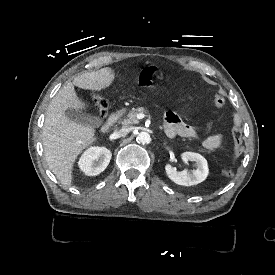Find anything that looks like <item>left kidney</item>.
Listing matches in <instances>:
<instances>
[{
  "instance_id": "5707ae66",
  "label": "left kidney",
  "mask_w": 275,
  "mask_h": 275,
  "mask_svg": "<svg viewBox=\"0 0 275 275\" xmlns=\"http://www.w3.org/2000/svg\"><path fill=\"white\" fill-rule=\"evenodd\" d=\"M179 156L184 164H188L189 161H194L197 168L193 171L183 170L182 172H177L171 164L167 163L165 165V172L172 182L182 186H192L206 179L208 166L203 156L188 151L180 153Z\"/></svg>"
}]
</instances>
